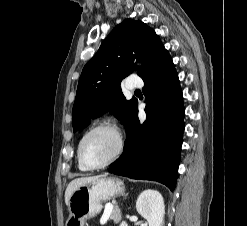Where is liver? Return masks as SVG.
<instances>
[{"instance_id":"6515ba94","label":"liver","mask_w":247,"mask_h":226,"mask_svg":"<svg viewBox=\"0 0 247 226\" xmlns=\"http://www.w3.org/2000/svg\"><path fill=\"white\" fill-rule=\"evenodd\" d=\"M99 177L102 176H92V177H81V178H76L74 180H72L69 185L67 186V189L65 191V203L66 205H68L69 203V199L70 196L72 195V193L81 185H84L86 183H89Z\"/></svg>"}]
</instances>
